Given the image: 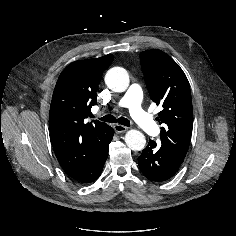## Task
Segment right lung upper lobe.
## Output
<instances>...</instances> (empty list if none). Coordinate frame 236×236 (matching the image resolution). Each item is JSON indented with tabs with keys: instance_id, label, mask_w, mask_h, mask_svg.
Masks as SVG:
<instances>
[{
	"instance_id": "cb5924a9",
	"label": "right lung upper lobe",
	"mask_w": 236,
	"mask_h": 236,
	"mask_svg": "<svg viewBox=\"0 0 236 236\" xmlns=\"http://www.w3.org/2000/svg\"><path fill=\"white\" fill-rule=\"evenodd\" d=\"M113 55L79 60L60 74L49 112L50 140L63 170L74 178L81 174L103 147L110 126L98 120L85 123L96 104V90Z\"/></svg>"
}]
</instances>
